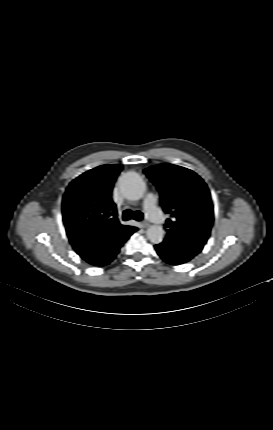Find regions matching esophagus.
<instances>
[{
  "label": "esophagus",
  "mask_w": 273,
  "mask_h": 430,
  "mask_svg": "<svg viewBox=\"0 0 273 430\" xmlns=\"http://www.w3.org/2000/svg\"><path fill=\"white\" fill-rule=\"evenodd\" d=\"M141 225H142V227H144V228L149 227V223H148V222H146V221H143V222L141 223Z\"/></svg>",
  "instance_id": "1"
}]
</instances>
